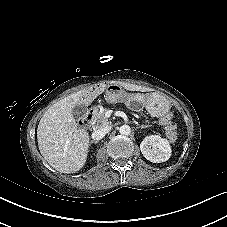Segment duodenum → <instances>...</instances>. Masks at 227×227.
Masks as SVG:
<instances>
[{"mask_svg": "<svg viewBox=\"0 0 227 227\" xmlns=\"http://www.w3.org/2000/svg\"><path fill=\"white\" fill-rule=\"evenodd\" d=\"M95 109H96L95 106H91L87 113L79 120V125L81 127L87 128L91 125V120Z\"/></svg>", "mask_w": 227, "mask_h": 227, "instance_id": "410a0bca", "label": "duodenum"}]
</instances>
